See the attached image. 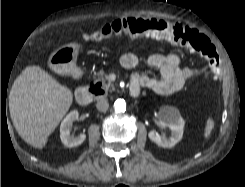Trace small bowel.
Wrapping results in <instances>:
<instances>
[{
	"instance_id": "1",
	"label": "small bowel",
	"mask_w": 245,
	"mask_h": 187,
	"mask_svg": "<svg viewBox=\"0 0 245 187\" xmlns=\"http://www.w3.org/2000/svg\"><path fill=\"white\" fill-rule=\"evenodd\" d=\"M147 64L156 69L159 77H151L138 71L139 58L132 53L121 56L122 67L132 70L130 87L147 88L160 95H168L179 91L186 80L193 77L207 78L208 73L204 68L180 67V59L174 54L152 55L147 58Z\"/></svg>"
}]
</instances>
